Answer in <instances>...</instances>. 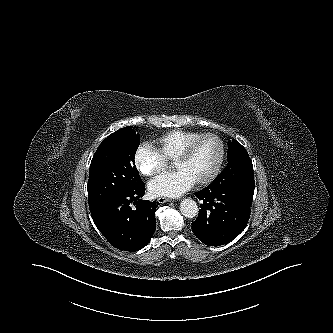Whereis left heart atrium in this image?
Returning <instances> with one entry per match:
<instances>
[{"instance_id":"39dd6f15","label":"left heart atrium","mask_w":333,"mask_h":333,"mask_svg":"<svg viewBox=\"0 0 333 333\" xmlns=\"http://www.w3.org/2000/svg\"><path fill=\"white\" fill-rule=\"evenodd\" d=\"M195 184L193 178L183 170L164 173L150 181L149 192L156 197L177 198Z\"/></svg>"}]
</instances>
